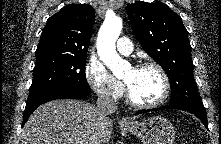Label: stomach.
Segmentation results:
<instances>
[{"label": "stomach", "mask_w": 221, "mask_h": 144, "mask_svg": "<svg viewBox=\"0 0 221 144\" xmlns=\"http://www.w3.org/2000/svg\"><path fill=\"white\" fill-rule=\"evenodd\" d=\"M132 135L139 138L143 144H172L176 131L166 118L153 116L140 122H133L123 127Z\"/></svg>", "instance_id": "0dacf381"}]
</instances>
